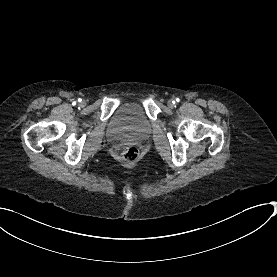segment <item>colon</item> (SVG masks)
Wrapping results in <instances>:
<instances>
[{
    "label": "colon",
    "instance_id": "1",
    "mask_svg": "<svg viewBox=\"0 0 277 277\" xmlns=\"http://www.w3.org/2000/svg\"><path fill=\"white\" fill-rule=\"evenodd\" d=\"M139 159H140V150L138 146L134 144H129L125 146L121 154V160L123 164L127 166H132L138 163Z\"/></svg>",
    "mask_w": 277,
    "mask_h": 277
}]
</instances>
